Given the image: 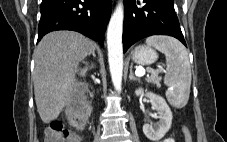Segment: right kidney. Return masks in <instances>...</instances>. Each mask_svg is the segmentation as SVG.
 <instances>
[{
  "label": "right kidney",
  "mask_w": 227,
  "mask_h": 142,
  "mask_svg": "<svg viewBox=\"0 0 227 142\" xmlns=\"http://www.w3.org/2000/svg\"><path fill=\"white\" fill-rule=\"evenodd\" d=\"M86 71H87V68L82 69V70H81V72H80V74H81L82 76H84V75H85V73H86Z\"/></svg>",
  "instance_id": "obj_1"
}]
</instances>
